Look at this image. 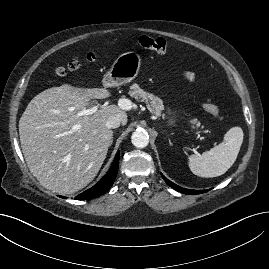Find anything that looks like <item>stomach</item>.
Instances as JSON below:
<instances>
[{"label":"stomach","instance_id":"stomach-1","mask_svg":"<svg viewBox=\"0 0 269 269\" xmlns=\"http://www.w3.org/2000/svg\"><path fill=\"white\" fill-rule=\"evenodd\" d=\"M142 58L136 51H128L117 57L110 70L104 75V87H116L136 78ZM170 122H173L171 120Z\"/></svg>","mask_w":269,"mask_h":269}]
</instances>
